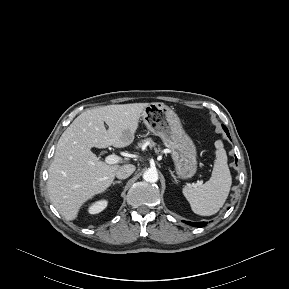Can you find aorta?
<instances>
[{"mask_svg": "<svg viewBox=\"0 0 289 289\" xmlns=\"http://www.w3.org/2000/svg\"><path fill=\"white\" fill-rule=\"evenodd\" d=\"M143 179L146 182L154 183L158 181V172L155 169H148L143 174Z\"/></svg>", "mask_w": 289, "mask_h": 289, "instance_id": "1", "label": "aorta"}]
</instances>
